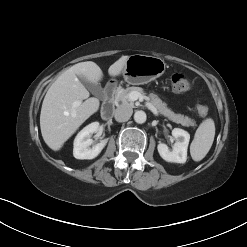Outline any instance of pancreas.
Listing matches in <instances>:
<instances>
[{
  "instance_id": "pancreas-1",
  "label": "pancreas",
  "mask_w": 247,
  "mask_h": 247,
  "mask_svg": "<svg viewBox=\"0 0 247 247\" xmlns=\"http://www.w3.org/2000/svg\"><path fill=\"white\" fill-rule=\"evenodd\" d=\"M133 91H136L141 94L146 100H148L156 109L157 111L167 117L169 120L181 124L183 126H196V122L189 118L188 116H184L182 114H175L173 111L168 109L166 107V104L162 102L160 98H158L157 95L150 93L148 96H145L144 90L141 87H128L126 89L124 88H118L116 95H115V101L121 102L123 105H129L131 107L134 106V103L129 98V94Z\"/></svg>"
}]
</instances>
